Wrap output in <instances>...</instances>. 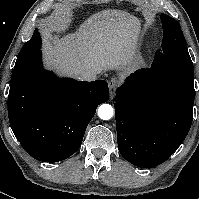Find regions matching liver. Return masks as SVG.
<instances>
[{
	"instance_id": "obj_1",
	"label": "liver",
	"mask_w": 199,
	"mask_h": 199,
	"mask_svg": "<svg viewBox=\"0 0 199 199\" xmlns=\"http://www.w3.org/2000/svg\"><path fill=\"white\" fill-rule=\"evenodd\" d=\"M139 20L123 10H104L89 17L75 33L59 38L49 35L44 43L48 67L79 78L89 68L112 70L134 63Z\"/></svg>"
}]
</instances>
